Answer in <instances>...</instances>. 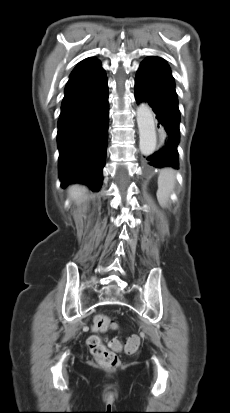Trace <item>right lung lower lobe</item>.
I'll use <instances>...</instances> for the list:
<instances>
[{
  "label": "right lung lower lobe",
  "instance_id": "right-lung-lower-lobe-1",
  "mask_svg": "<svg viewBox=\"0 0 230 413\" xmlns=\"http://www.w3.org/2000/svg\"><path fill=\"white\" fill-rule=\"evenodd\" d=\"M108 115L107 77L101 66L69 79L57 135L62 187L79 182L99 191L106 158Z\"/></svg>",
  "mask_w": 230,
  "mask_h": 413
}]
</instances>
